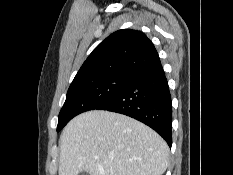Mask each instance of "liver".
Masks as SVG:
<instances>
[{"instance_id":"liver-1","label":"liver","mask_w":233,"mask_h":175,"mask_svg":"<svg viewBox=\"0 0 233 175\" xmlns=\"http://www.w3.org/2000/svg\"><path fill=\"white\" fill-rule=\"evenodd\" d=\"M169 147L154 130L123 114L93 110L60 136L59 175H162Z\"/></svg>"}]
</instances>
